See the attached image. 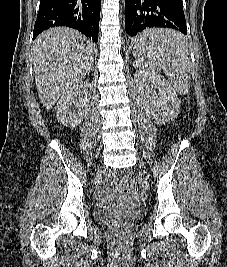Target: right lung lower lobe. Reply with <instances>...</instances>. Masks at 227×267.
Masks as SVG:
<instances>
[{"label": "right lung lower lobe", "mask_w": 227, "mask_h": 267, "mask_svg": "<svg viewBox=\"0 0 227 267\" xmlns=\"http://www.w3.org/2000/svg\"><path fill=\"white\" fill-rule=\"evenodd\" d=\"M100 9L101 0H40L33 40L50 27L68 26L97 42Z\"/></svg>", "instance_id": "obj_1"}]
</instances>
